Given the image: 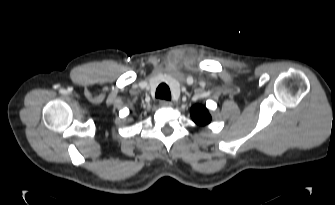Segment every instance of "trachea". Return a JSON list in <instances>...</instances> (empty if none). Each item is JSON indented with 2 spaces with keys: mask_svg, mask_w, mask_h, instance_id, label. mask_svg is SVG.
Returning <instances> with one entry per match:
<instances>
[{
  "mask_svg": "<svg viewBox=\"0 0 335 205\" xmlns=\"http://www.w3.org/2000/svg\"><path fill=\"white\" fill-rule=\"evenodd\" d=\"M156 97L164 100H171V92L165 83L160 84L156 89Z\"/></svg>",
  "mask_w": 335,
  "mask_h": 205,
  "instance_id": "obj_1",
  "label": "trachea"
}]
</instances>
